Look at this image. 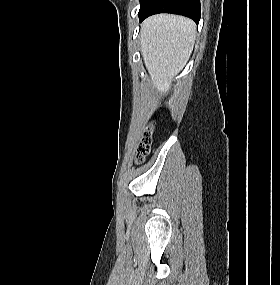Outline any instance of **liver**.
<instances>
[{
    "label": "liver",
    "mask_w": 280,
    "mask_h": 285,
    "mask_svg": "<svg viewBox=\"0 0 280 285\" xmlns=\"http://www.w3.org/2000/svg\"><path fill=\"white\" fill-rule=\"evenodd\" d=\"M194 41L195 24L186 17L159 14L143 22L141 52L157 93L169 91L174 77L189 60Z\"/></svg>",
    "instance_id": "obj_1"
}]
</instances>
